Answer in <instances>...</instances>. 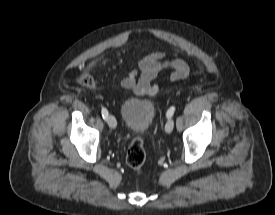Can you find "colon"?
<instances>
[{
    "instance_id": "1",
    "label": "colon",
    "mask_w": 275,
    "mask_h": 215,
    "mask_svg": "<svg viewBox=\"0 0 275 215\" xmlns=\"http://www.w3.org/2000/svg\"><path fill=\"white\" fill-rule=\"evenodd\" d=\"M81 85L87 88H93L94 81L88 76L84 75L79 79ZM145 161V150H144V138L142 136L135 137L127 150L126 162L130 168L135 170L139 174H143L142 166Z\"/></svg>"
}]
</instances>
